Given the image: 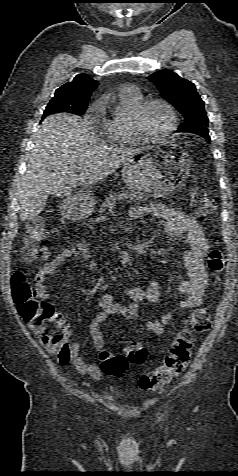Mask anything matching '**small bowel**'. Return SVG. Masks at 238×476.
Wrapping results in <instances>:
<instances>
[{
	"instance_id": "c3829d8e",
	"label": "small bowel",
	"mask_w": 238,
	"mask_h": 476,
	"mask_svg": "<svg viewBox=\"0 0 238 476\" xmlns=\"http://www.w3.org/2000/svg\"><path fill=\"white\" fill-rule=\"evenodd\" d=\"M129 215L132 219H143L146 217L164 219V232L166 235L171 239H178L184 236L187 245V248L182 253V259L188 278L179 288L180 293L185 298L177 303L171 311L164 313L159 320L147 321L145 323L148 331L159 335L172 322L175 314L186 309L197 308L202 304L205 292L210 286V277L204 265L209 245L197 219L176 208L164 204H153L148 207L135 206L130 210ZM70 258L80 261L83 267L89 271L96 269V261L91 257L87 243L81 242L76 246L65 248L38 270L35 276V290L39 298L46 300L49 297L48 278L57 273L61 266ZM160 292V286L157 283H153L147 288L127 287L126 294L130 299V302L127 304L115 301L110 294L100 295L97 301L101 311L90 325V336L94 347L100 352L104 350L105 343L100 331V325L110 315L119 314L131 320H138L140 304L145 301L157 303L160 299ZM80 349L81 345L78 342L69 345L65 355H57L59 362L61 364H71L79 373L88 375L93 379H99L103 374L101 366L87 363L80 355Z\"/></svg>"
}]
</instances>
